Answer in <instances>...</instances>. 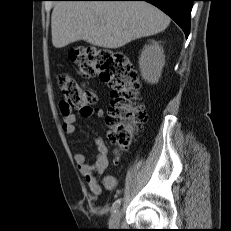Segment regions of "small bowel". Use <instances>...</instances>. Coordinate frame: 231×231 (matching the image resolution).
<instances>
[{
    "label": "small bowel",
    "instance_id": "c3829d8e",
    "mask_svg": "<svg viewBox=\"0 0 231 231\" xmlns=\"http://www.w3.org/2000/svg\"><path fill=\"white\" fill-rule=\"evenodd\" d=\"M93 113L97 116H103L104 112L102 109L93 111L91 108L80 111L81 116L89 117ZM76 115L75 114H64L62 122V130L65 134L71 135L75 132L76 126ZM97 152L94 155L92 162H87L86 157L82 153H76L74 160L78 166V169L84 179L86 180L90 191L94 196H99L102 193V189L112 190L117 185V179L114 176L107 175L103 178L102 185L99 184L96 175L103 174L108 167L107 147L104 140L101 137H97L95 140ZM116 161L119 160V153L116 151Z\"/></svg>",
    "mask_w": 231,
    "mask_h": 231
}]
</instances>
